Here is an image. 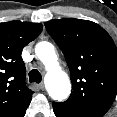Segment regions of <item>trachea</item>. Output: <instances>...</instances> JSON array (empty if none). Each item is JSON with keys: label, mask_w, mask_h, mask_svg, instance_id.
I'll return each mask as SVG.
<instances>
[{"label": "trachea", "mask_w": 117, "mask_h": 117, "mask_svg": "<svg viewBox=\"0 0 117 117\" xmlns=\"http://www.w3.org/2000/svg\"><path fill=\"white\" fill-rule=\"evenodd\" d=\"M41 80H42V76H41L40 72L37 69H32L29 72V81L30 82L40 83Z\"/></svg>", "instance_id": "1"}]
</instances>
